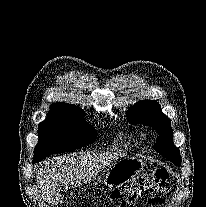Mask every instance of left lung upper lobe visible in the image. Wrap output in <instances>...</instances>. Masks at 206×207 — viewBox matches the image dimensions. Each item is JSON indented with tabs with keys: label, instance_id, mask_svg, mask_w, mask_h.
Masks as SVG:
<instances>
[{
	"label": "left lung upper lobe",
	"instance_id": "left-lung-upper-lobe-1",
	"mask_svg": "<svg viewBox=\"0 0 206 207\" xmlns=\"http://www.w3.org/2000/svg\"><path fill=\"white\" fill-rule=\"evenodd\" d=\"M126 116L131 124H143L153 127L160 136L157 138L155 150L180 166L181 156L179 149L173 144L170 119L161 112V107L154 100H143L129 108Z\"/></svg>",
	"mask_w": 206,
	"mask_h": 207
}]
</instances>
